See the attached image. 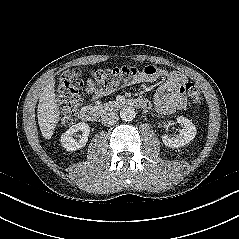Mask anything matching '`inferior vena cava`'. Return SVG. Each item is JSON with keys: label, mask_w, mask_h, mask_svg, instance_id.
Returning a JSON list of instances; mask_svg holds the SVG:
<instances>
[{"label": "inferior vena cava", "mask_w": 239, "mask_h": 239, "mask_svg": "<svg viewBox=\"0 0 239 239\" xmlns=\"http://www.w3.org/2000/svg\"><path fill=\"white\" fill-rule=\"evenodd\" d=\"M101 119H102V123L105 126H113L117 123V121L119 120V117L114 112H108L104 114Z\"/></svg>", "instance_id": "inferior-vena-cava-1"}]
</instances>
